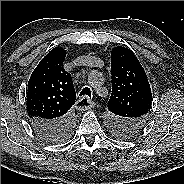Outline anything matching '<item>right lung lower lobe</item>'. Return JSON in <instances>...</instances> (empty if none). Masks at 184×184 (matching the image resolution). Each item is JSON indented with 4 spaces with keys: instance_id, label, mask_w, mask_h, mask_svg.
Segmentation results:
<instances>
[{
    "instance_id": "right-lung-lower-lobe-1",
    "label": "right lung lower lobe",
    "mask_w": 184,
    "mask_h": 184,
    "mask_svg": "<svg viewBox=\"0 0 184 184\" xmlns=\"http://www.w3.org/2000/svg\"><path fill=\"white\" fill-rule=\"evenodd\" d=\"M31 125L35 132L39 134L42 138L50 140L60 133L67 131L72 125H74V121L72 115L69 114L62 119L55 121H39V120H31Z\"/></svg>"
}]
</instances>
